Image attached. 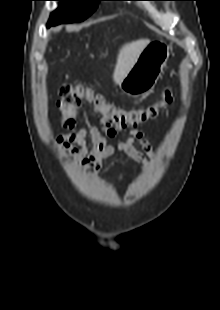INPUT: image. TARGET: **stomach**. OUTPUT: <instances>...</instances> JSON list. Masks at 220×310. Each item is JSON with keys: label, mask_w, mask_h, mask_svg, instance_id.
I'll use <instances>...</instances> for the list:
<instances>
[{"label": "stomach", "mask_w": 220, "mask_h": 310, "mask_svg": "<svg viewBox=\"0 0 220 310\" xmlns=\"http://www.w3.org/2000/svg\"><path fill=\"white\" fill-rule=\"evenodd\" d=\"M169 45L163 40L148 43L129 73L120 82L123 93L138 97L146 95L157 83L169 57Z\"/></svg>", "instance_id": "1"}]
</instances>
